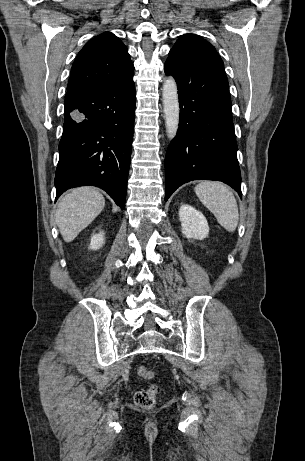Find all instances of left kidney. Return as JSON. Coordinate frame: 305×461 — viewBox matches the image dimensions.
I'll list each match as a JSON object with an SVG mask.
<instances>
[{
	"label": "left kidney",
	"instance_id": "obj_1",
	"mask_svg": "<svg viewBox=\"0 0 305 461\" xmlns=\"http://www.w3.org/2000/svg\"><path fill=\"white\" fill-rule=\"evenodd\" d=\"M179 219L182 226V233L188 239L206 238L209 234V227L205 216L193 206L183 204L179 209Z\"/></svg>",
	"mask_w": 305,
	"mask_h": 461
}]
</instances>
